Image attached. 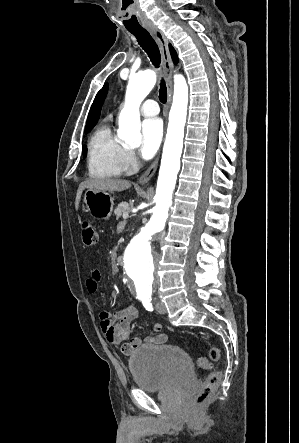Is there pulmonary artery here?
<instances>
[{
  "label": "pulmonary artery",
  "instance_id": "pulmonary-artery-1",
  "mask_svg": "<svg viewBox=\"0 0 299 443\" xmlns=\"http://www.w3.org/2000/svg\"><path fill=\"white\" fill-rule=\"evenodd\" d=\"M140 111L144 116H155L159 113V107L156 101L147 100L142 104Z\"/></svg>",
  "mask_w": 299,
  "mask_h": 443
}]
</instances>
